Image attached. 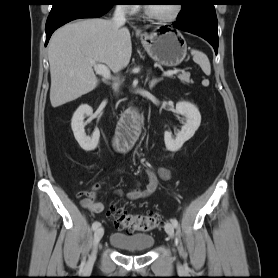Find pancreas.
<instances>
[{"label": "pancreas", "mask_w": 278, "mask_h": 278, "mask_svg": "<svg viewBox=\"0 0 278 278\" xmlns=\"http://www.w3.org/2000/svg\"><path fill=\"white\" fill-rule=\"evenodd\" d=\"M178 78L183 82V83H191L192 81L190 80V73H182L178 75Z\"/></svg>", "instance_id": "pancreas-1"}]
</instances>
